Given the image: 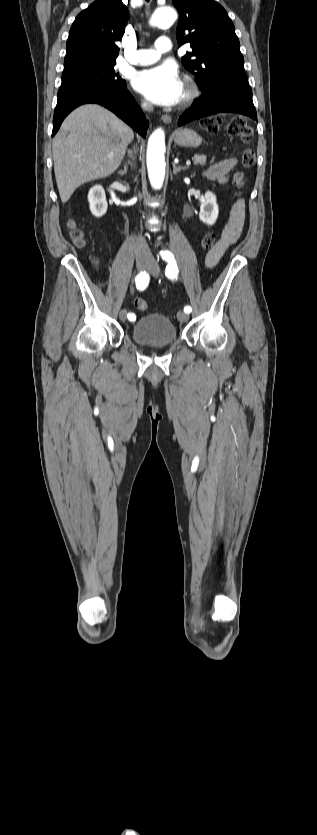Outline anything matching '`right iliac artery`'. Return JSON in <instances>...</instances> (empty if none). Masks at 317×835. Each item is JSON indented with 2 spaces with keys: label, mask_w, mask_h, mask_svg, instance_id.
Returning a JSON list of instances; mask_svg holds the SVG:
<instances>
[{
  "label": "right iliac artery",
  "mask_w": 317,
  "mask_h": 835,
  "mask_svg": "<svg viewBox=\"0 0 317 835\" xmlns=\"http://www.w3.org/2000/svg\"><path fill=\"white\" fill-rule=\"evenodd\" d=\"M149 279H150L149 275L146 273V271H141L135 277V283H136L137 289L140 290V291H143L148 286ZM127 317H128V319L133 320L135 318V315L133 313H128Z\"/></svg>",
  "instance_id": "obj_1"
}]
</instances>
